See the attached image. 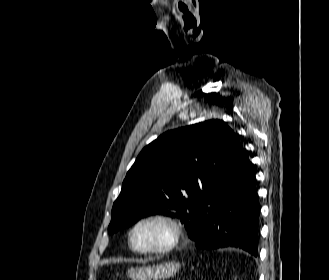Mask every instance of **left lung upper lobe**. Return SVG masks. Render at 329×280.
I'll return each mask as SVG.
<instances>
[{"label": "left lung upper lobe", "mask_w": 329, "mask_h": 280, "mask_svg": "<svg viewBox=\"0 0 329 280\" xmlns=\"http://www.w3.org/2000/svg\"><path fill=\"white\" fill-rule=\"evenodd\" d=\"M242 146L221 120L168 131L146 146L123 181L113 204L109 234L141 217H177L193 235L203 201L232 181Z\"/></svg>", "instance_id": "obj_1"}]
</instances>
